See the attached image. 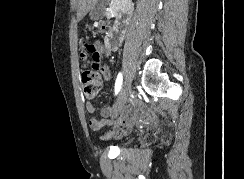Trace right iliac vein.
<instances>
[{
  "mask_svg": "<svg viewBox=\"0 0 244 179\" xmlns=\"http://www.w3.org/2000/svg\"><path fill=\"white\" fill-rule=\"evenodd\" d=\"M129 89H130L129 82H127L125 80L123 83V86L119 92L116 103L114 105L113 117L112 118H115L119 114L121 109L124 107L125 102H126V98L128 96V93H129Z\"/></svg>",
  "mask_w": 244,
  "mask_h": 179,
  "instance_id": "obj_1",
  "label": "right iliac vein"
}]
</instances>
